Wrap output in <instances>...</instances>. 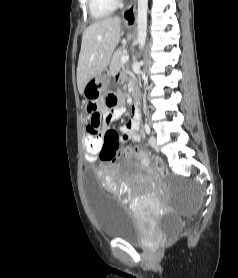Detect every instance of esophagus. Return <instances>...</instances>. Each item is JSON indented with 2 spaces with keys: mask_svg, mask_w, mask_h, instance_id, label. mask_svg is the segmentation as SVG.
Instances as JSON below:
<instances>
[{
  "mask_svg": "<svg viewBox=\"0 0 238 278\" xmlns=\"http://www.w3.org/2000/svg\"><path fill=\"white\" fill-rule=\"evenodd\" d=\"M123 20L125 24H133L136 20V0H131L125 11L123 12Z\"/></svg>",
  "mask_w": 238,
  "mask_h": 278,
  "instance_id": "1",
  "label": "esophagus"
}]
</instances>
